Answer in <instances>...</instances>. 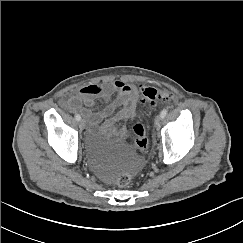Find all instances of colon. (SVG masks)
Returning <instances> with one entry per match:
<instances>
[{
	"mask_svg": "<svg viewBox=\"0 0 243 243\" xmlns=\"http://www.w3.org/2000/svg\"><path fill=\"white\" fill-rule=\"evenodd\" d=\"M137 92L140 94L141 101L150 106H155L159 104L169 103L173 96L169 91L158 89L154 86H145L143 84L138 85ZM133 119L136 123L133 125V146L137 151L142 154H149L153 152V145L150 144V123L141 122L142 119V110L139 107L134 108L133 110ZM132 177L128 172L121 173L117 180L116 184L120 188H125L131 183Z\"/></svg>",
	"mask_w": 243,
	"mask_h": 243,
	"instance_id": "1",
	"label": "colon"
}]
</instances>
